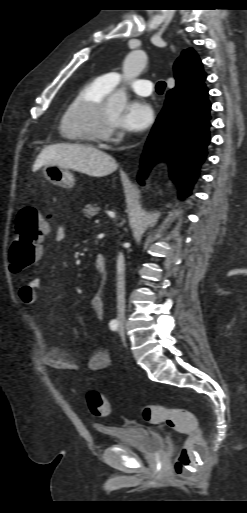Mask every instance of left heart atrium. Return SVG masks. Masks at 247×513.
<instances>
[{
  "label": "left heart atrium",
  "mask_w": 247,
  "mask_h": 513,
  "mask_svg": "<svg viewBox=\"0 0 247 513\" xmlns=\"http://www.w3.org/2000/svg\"><path fill=\"white\" fill-rule=\"evenodd\" d=\"M154 118L152 107L145 101L136 99L127 104L125 111L115 123L128 130L141 131L148 128Z\"/></svg>",
  "instance_id": "39dd6f15"
}]
</instances>
